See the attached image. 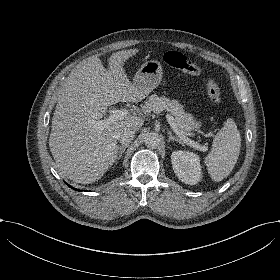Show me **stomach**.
Listing matches in <instances>:
<instances>
[{
  "label": "stomach",
  "instance_id": "obj_1",
  "mask_svg": "<svg viewBox=\"0 0 280 280\" xmlns=\"http://www.w3.org/2000/svg\"><path fill=\"white\" fill-rule=\"evenodd\" d=\"M162 68L157 61H148L140 66L136 72L132 87L140 89L148 95L161 82Z\"/></svg>",
  "mask_w": 280,
  "mask_h": 280
}]
</instances>
